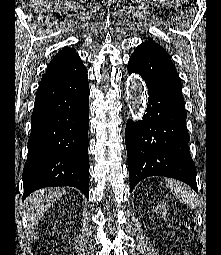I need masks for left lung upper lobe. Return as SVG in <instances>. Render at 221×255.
Instances as JSON below:
<instances>
[{
  "label": "left lung upper lobe",
  "instance_id": "5c2ea615",
  "mask_svg": "<svg viewBox=\"0 0 221 255\" xmlns=\"http://www.w3.org/2000/svg\"><path fill=\"white\" fill-rule=\"evenodd\" d=\"M139 46L150 48V49H152L153 51H155V52H157V53L163 55L164 58H165L166 60H168V61L173 65V63H172V61H171V59H170V56L167 54V52L165 51V49H164L163 47H161L159 44H157V43H155V42H153V41H146V42L142 43V44L139 45Z\"/></svg>",
  "mask_w": 221,
  "mask_h": 255
}]
</instances>
